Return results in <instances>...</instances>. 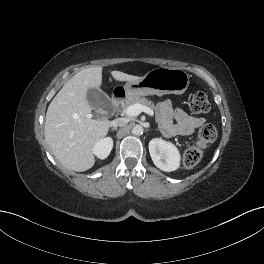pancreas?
I'll return each instance as SVG.
<instances>
[{
	"instance_id": "obj_1",
	"label": "pancreas",
	"mask_w": 264,
	"mask_h": 264,
	"mask_svg": "<svg viewBox=\"0 0 264 264\" xmlns=\"http://www.w3.org/2000/svg\"><path fill=\"white\" fill-rule=\"evenodd\" d=\"M134 104H141L143 106L156 109L155 104L152 101L147 100L145 97L128 98L121 103V108L123 111H125L129 106L134 105Z\"/></svg>"
}]
</instances>
